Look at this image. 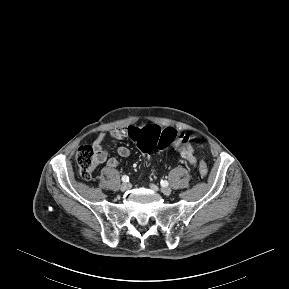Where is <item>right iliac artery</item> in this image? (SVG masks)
<instances>
[{
  "mask_svg": "<svg viewBox=\"0 0 289 289\" xmlns=\"http://www.w3.org/2000/svg\"><path fill=\"white\" fill-rule=\"evenodd\" d=\"M122 181L125 182V183L128 182L129 181V177L126 176V175L122 176Z\"/></svg>",
  "mask_w": 289,
  "mask_h": 289,
  "instance_id": "1",
  "label": "right iliac artery"
}]
</instances>
